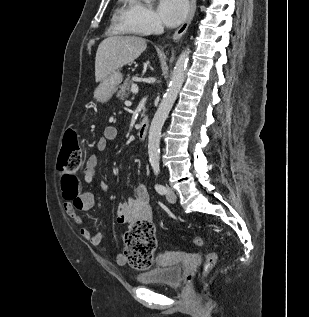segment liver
<instances>
[{"label":"liver","mask_w":309,"mask_h":317,"mask_svg":"<svg viewBox=\"0 0 309 317\" xmlns=\"http://www.w3.org/2000/svg\"><path fill=\"white\" fill-rule=\"evenodd\" d=\"M146 47V40L141 37H107L99 44L96 52L95 81H103L111 73L137 59Z\"/></svg>","instance_id":"liver-1"}]
</instances>
